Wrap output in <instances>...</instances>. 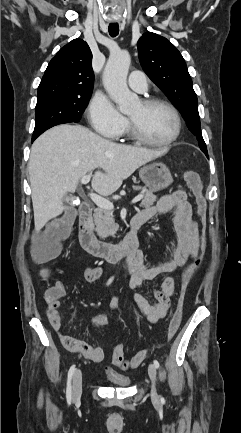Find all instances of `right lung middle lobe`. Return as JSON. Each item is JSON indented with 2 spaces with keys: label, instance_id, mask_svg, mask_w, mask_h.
<instances>
[{
  "label": "right lung middle lobe",
  "instance_id": "dd1d6c3e",
  "mask_svg": "<svg viewBox=\"0 0 241 433\" xmlns=\"http://www.w3.org/2000/svg\"><path fill=\"white\" fill-rule=\"evenodd\" d=\"M91 95L84 97L51 96L38 99L33 138L47 129L64 123L79 122Z\"/></svg>",
  "mask_w": 241,
  "mask_h": 433
}]
</instances>
